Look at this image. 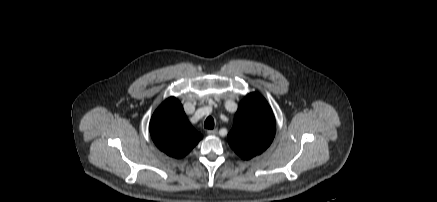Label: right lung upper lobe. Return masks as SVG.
Returning <instances> with one entry per match:
<instances>
[{
    "label": "right lung upper lobe",
    "instance_id": "obj_1",
    "mask_svg": "<svg viewBox=\"0 0 437 202\" xmlns=\"http://www.w3.org/2000/svg\"><path fill=\"white\" fill-rule=\"evenodd\" d=\"M149 131L155 145L167 155L182 158L202 139L188 121L181 103L166 99L154 112Z\"/></svg>",
    "mask_w": 437,
    "mask_h": 202
}]
</instances>
